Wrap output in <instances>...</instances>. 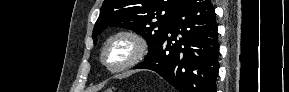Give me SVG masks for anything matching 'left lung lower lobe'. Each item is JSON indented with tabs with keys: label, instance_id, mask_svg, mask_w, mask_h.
Here are the masks:
<instances>
[{
	"label": "left lung lower lobe",
	"instance_id": "obj_1",
	"mask_svg": "<svg viewBox=\"0 0 289 92\" xmlns=\"http://www.w3.org/2000/svg\"><path fill=\"white\" fill-rule=\"evenodd\" d=\"M210 0H183L154 54L134 68L150 69L180 92H215L219 43Z\"/></svg>",
	"mask_w": 289,
	"mask_h": 92
}]
</instances>
